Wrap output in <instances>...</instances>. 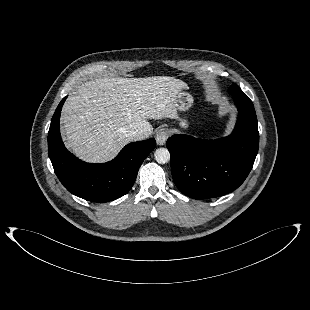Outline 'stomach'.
<instances>
[{"label": "stomach", "instance_id": "obj_1", "mask_svg": "<svg viewBox=\"0 0 310 310\" xmlns=\"http://www.w3.org/2000/svg\"><path fill=\"white\" fill-rule=\"evenodd\" d=\"M193 100H194L193 96L190 93L181 90L178 93L177 97H176L177 109L180 110V111L188 110L192 106ZM181 127L186 128L187 127V122L186 121H182L181 122Z\"/></svg>", "mask_w": 310, "mask_h": 310}]
</instances>
